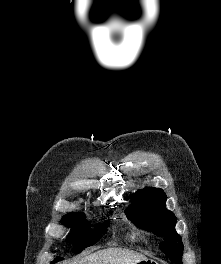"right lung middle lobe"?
Instances as JSON below:
<instances>
[{
    "label": "right lung middle lobe",
    "mask_w": 221,
    "mask_h": 264,
    "mask_svg": "<svg viewBox=\"0 0 221 264\" xmlns=\"http://www.w3.org/2000/svg\"><path fill=\"white\" fill-rule=\"evenodd\" d=\"M62 223L68 227H71L73 231L68 236L69 243L76 244L73 249L74 253H80L84 248L94 245L102 235L106 233L109 221H106L103 225L98 226V229L89 231L90 226L88 222L84 220V216L78 213H69L63 217ZM63 258H56L53 263H56Z\"/></svg>",
    "instance_id": "dd1d6c3e"
}]
</instances>
